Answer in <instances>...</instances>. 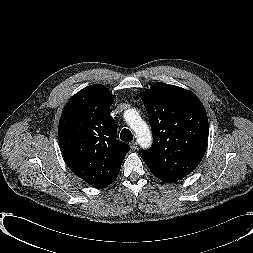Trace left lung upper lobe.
Returning <instances> with one entry per match:
<instances>
[{
  "instance_id": "1",
  "label": "left lung upper lobe",
  "mask_w": 253,
  "mask_h": 253,
  "mask_svg": "<svg viewBox=\"0 0 253 253\" xmlns=\"http://www.w3.org/2000/svg\"><path fill=\"white\" fill-rule=\"evenodd\" d=\"M153 145L140 150L154 175L184 177L200 163L207 146L208 118L198 97L189 90L155 83L141 94Z\"/></svg>"
}]
</instances>
